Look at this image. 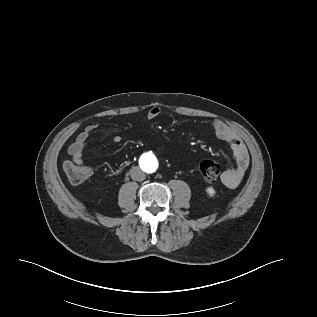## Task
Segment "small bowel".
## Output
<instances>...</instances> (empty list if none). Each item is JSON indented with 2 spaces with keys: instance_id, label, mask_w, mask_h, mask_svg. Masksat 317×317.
<instances>
[{
  "instance_id": "c3829d8e",
  "label": "small bowel",
  "mask_w": 317,
  "mask_h": 317,
  "mask_svg": "<svg viewBox=\"0 0 317 317\" xmlns=\"http://www.w3.org/2000/svg\"><path fill=\"white\" fill-rule=\"evenodd\" d=\"M161 115V108L159 106H153L148 111V118L155 120ZM212 128L215 135L229 144L234 160L235 166L226 170L221 180L228 188H235L241 182L249 165V155L247 149L241 140V138L234 132V130L221 120L215 119L212 121ZM98 124L93 123L88 126L77 136L75 141L70 144L68 153L76 163L83 162V153L87 147V142L90 135L96 132ZM121 136L114 135L112 142L118 144L121 142Z\"/></svg>"
}]
</instances>
